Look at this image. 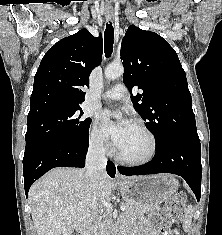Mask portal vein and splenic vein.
<instances>
[{
	"label": "portal vein and splenic vein",
	"instance_id": "obj_1",
	"mask_svg": "<svg viewBox=\"0 0 222 235\" xmlns=\"http://www.w3.org/2000/svg\"><path fill=\"white\" fill-rule=\"evenodd\" d=\"M101 202L106 207L107 211L113 210V206L111 203L107 202L106 200H102ZM125 209H126V207L124 205H122L121 210L124 211Z\"/></svg>",
	"mask_w": 222,
	"mask_h": 235
}]
</instances>
